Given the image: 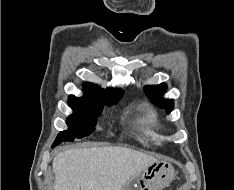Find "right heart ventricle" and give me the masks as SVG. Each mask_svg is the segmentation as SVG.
Instances as JSON below:
<instances>
[{
  "instance_id": "1",
  "label": "right heart ventricle",
  "mask_w": 234,
  "mask_h": 190,
  "mask_svg": "<svg viewBox=\"0 0 234 190\" xmlns=\"http://www.w3.org/2000/svg\"><path fill=\"white\" fill-rule=\"evenodd\" d=\"M155 118V113L150 109H146L145 117L140 122L143 124L156 126Z\"/></svg>"
}]
</instances>
